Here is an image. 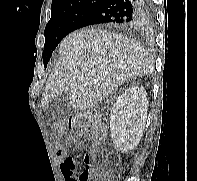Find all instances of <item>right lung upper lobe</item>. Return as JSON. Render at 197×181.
I'll return each instance as SVG.
<instances>
[{
    "instance_id": "obj_1",
    "label": "right lung upper lobe",
    "mask_w": 197,
    "mask_h": 181,
    "mask_svg": "<svg viewBox=\"0 0 197 181\" xmlns=\"http://www.w3.org/2000/svg\"><path fill=\"white\" fill-rule=\"evenodd\" d=\"M104 0H53L51 5V12H58L74 8L84 4H100ZM140 28V27H138ZM130 30L137 29L136 27H130Z\"/></svg>"
}]
</instances>
